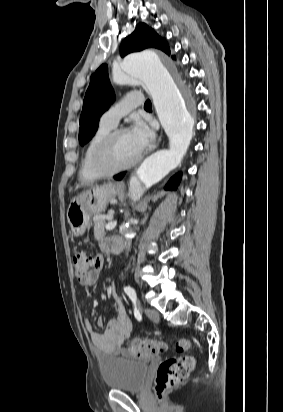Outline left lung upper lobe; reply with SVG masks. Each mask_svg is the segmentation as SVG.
<instances>
[{
    "instance_id": "left-lung-upper-lobe-1",
    "label": "left lung upper lobe",
    "mask_w": 283,
    "mask_h": 412,
    "mask_svg": "<svg viewBox=\"0 0 283 412\" xmlns=\"http://www.w3.org/2000/svg\"><path fill=\"white\" fill-rule=\"evenodd\" d=\"M146 48H157L170 55V48L165 38H161L152 28L140 23L120 46V55L123 57L131 52ZM174 58V57H173ZM115 100L113 89L109 83L107 66L101 65L91 76L89 87L83 101L80 117L79 142L84 145L96 133V124L99 116L109 108Z\"/></svg>"
}]
</instances>
